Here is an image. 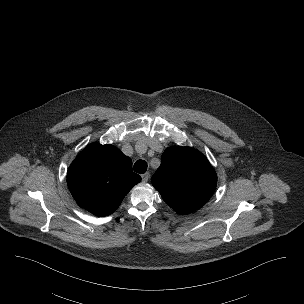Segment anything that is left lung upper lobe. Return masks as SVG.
Returning <instances> with one entry per match:
<instances>
[{
	"mask_svg": "<svg viewBox=\"0 0 304 304\" xmlns=\"http://www.w3.org/2000/svg\"><path fill=\"white\" fill-rule=\"evenodd\" d=\"M153 186L177 213L201 208L212 196L217 175L207 158L190 147H169L152 177Z\"/></svg>",
	"mask_w": 304,
	"mask_h": 304,
	"instance_id": "left-lung-upper-lobe-1",
	"label": "left lung upper lobe"
}]
</instances>
